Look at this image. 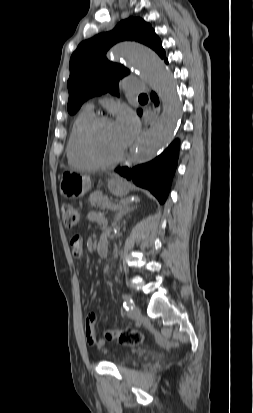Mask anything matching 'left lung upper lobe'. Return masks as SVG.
<instances>
[{"label":"left lung upper lobe","mask_w":253,"mask_h":413,"mask_svg":"<svg viewBox=\"0 0 253 413\" xmlns=\"http://www.w3.org/2000/svg\"><path fill=\"white\" fill-rule=\"evenodd\" d=\"M123 40L140 42L161 58L165 51L151 25L139 17L122 20L110 32L101 33L79 44L70 59L68 112L74 114L90 97L105 92L118 95L119 79L128 75L124 66L109 62L108 49Z\"/></svg>","instance_id":"left-lung-upper-lobe-1"}]
</instances>
